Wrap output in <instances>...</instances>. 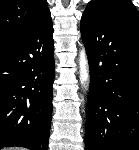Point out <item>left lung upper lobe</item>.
<instances>
[{
  "label": "left lung upper lobe",
  "mask_w": 139,
  "mask_h": 150,
  "mask_svg": "<svg viewBox=\"0 0 139 150\" xmlns=\"http://www.w3.org/2000/svg\"><path fill=\"white\" fill-rule=\"evenodd\" d=\"M106 2H128V3H131L130 0H91L89 2L88 6L93 5V4H98V3H106Z\"/></svg>",
  "instance_id": "obj_1"
}]
</instances>
